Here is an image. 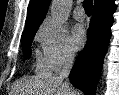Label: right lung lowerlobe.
<instances>
[{
    "instance_id": "obj_1",
    "label": "right lung lower lobe",
    "mask_w": 119,
    "mask_h": 95,
    "mask_svg": "<svg viewBox=\"0 0 119 95\" xmlns=\"http://www.w3.org/2000/svg\"><path fill=\"white\" fill-rule=\"evenodd\" d=\"M114 0L95 8L87 31V43L70 73L71 83L85 95H94L103 59L111 37Z\"/></svg>"
}]
</instances>
